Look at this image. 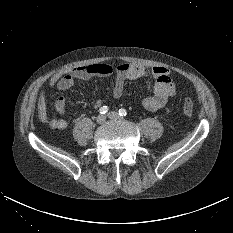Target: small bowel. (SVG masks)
Wrapping results in <instances>:
<instances>
[{
    "mask_svg": "<svg viewBox=\"0 0 233 233\" xmlns=\"http://www.w3.org/2000/svg\"><path fill=\"white\" fill-rule=\"evenodd\" d=\"M95 77H113L112 96L115 98L122 95L127 80L142 77L149 78L151 80V94L142 100L143 107L148 111H156L164 107L168 99L175 96L177 92L176 82L171 77L168 69L161 66H146L133 63H121L116 67L105 63L77 66L55 73L51 77L49 84L59 90H67L78 81H87ZM103 105V99H98L95 102L96 108H101ZM37 108L40 121L50 128L63 130L68 126L65 119L49 115L45 91H41L39 94ZM65 108V97H57L54 102L55 112L62 115Z\"/></svg>",
    "mask_w": 233,
    "mask_h": 233,
    "instance_id": "small-bowel-1",
    "label": "small bowel"
}]
</instances>
